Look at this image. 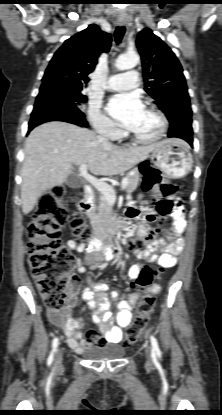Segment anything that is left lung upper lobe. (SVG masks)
<instances>
[{"instance_id":"obj_1","label":"left lung upper lobe","mask_w":222,"mask_h":415,"mask_svg":"<svg viewBox=\"0 0 222 415\" xmlns=\"http://www.w3.org/2000/svg\"><path fill=\"white\" fill-rule=\"evenodd\" d=\"M141 55L144 89L173 126L192 110L182 66L173 51L149 28L137 37Z\"/></svg>"}]
</instances>
